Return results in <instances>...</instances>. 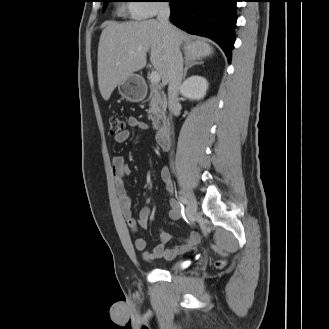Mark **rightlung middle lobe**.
I'll list each match as a JSON object with an SVG mask.
<instances>
[{"mask_svg": "<svg viewBox=\"0 0 329 329\" xmlns=\"http://www.w3.org/2000/svg\"><path fill=\"white\" fill-rule=\"evenodd\" d=\"M101 1H103V2H104V8H105V6H106V3H107V2H110V1H113V0H101ZM104 8H103V9H104Z\"/></svg>", "mask_w": 329, "mask_h": 329, "instance_id": "1", "label": "right lung middle lobe"}]
</instances>
